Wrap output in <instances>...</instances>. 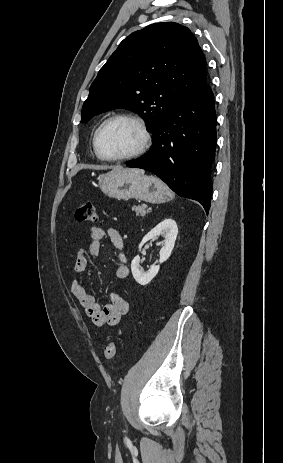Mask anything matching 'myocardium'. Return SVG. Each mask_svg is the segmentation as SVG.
I'll list each match as a JSON object with an SVG mask.
<instances>
[{"mask_svg":"<svg viewBox=\"0 0 283 463\" xmlns=\"http://www.w3.org/2000/svg\"><path fill=\"white\" fill-rule=\"evenodd\" d=\"M118 120H127V121L134 123L140 131L141 142L138 148L130 154L123 155V156H117V157L104 156L99 149L100 134L107 125H109L110 123L114 121H118ZM151 142H152V137H151V133H150V130L146 122L144 121L142 117H140L139 115L133 114V113H120V114H116V115H113L107 118L96 129L94 137H93V147H94V151L96 155L98 156L99 159L106 161V162H124V161H129V160L138 158L144 153H146V151L151 146Z\"/></svg>","mask_w":283,"mask_h":463,"instance_id":"myocardium-1","label":"myocardium"}]
</instances>
